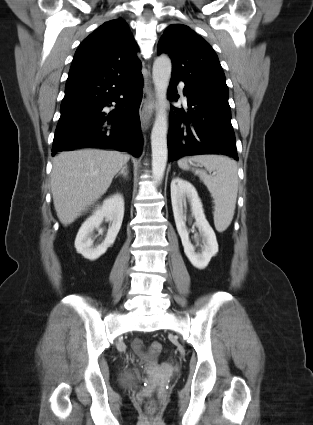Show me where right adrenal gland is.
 Returning a JSON list of instances; mask_svg holds the SVG:
<instances>
[{"label":"right adrenal gland","instance_id":"2a0ac1e0","mask_svg":"<svg viewBox=\"0 0 313 425\" xmlns=\"http://www.w3.org/2000/svg\"><path fill=\"white\" fill-rule=\"evenodd\" d=\"M128 173H129L128 167H127V165H125L124 167H122V169L120 170V172L116 175V178L118 176H121L122 175L124 179H127Z\"/></svg>","mask_w":313,"mask_h":425}]
</instances>
